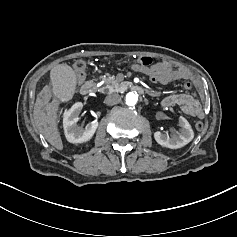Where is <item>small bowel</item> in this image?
<instances>
[{
    "label": "small bowel",
    "instance_id": "obj_1",
    "mask_svg": "<svg viewBox=\"0 0 237 237\" xmlns=\"http://www.w3.org/2000/svg\"><path fill=\"white\" fill-rule=\"evenodd\" d=\"M133 69L145 74L146 76H149L150 74L147 69L141 67L137 63L133 65ZM160 69L168 78V83L174 80L184 79L187 80L184 84L185 89L188 91L192 89V84L190 82L191 74L185 68L172 62L164 61L160 63ZM82 80L83 77L79 76L78 81L81 82ZM162 105L165 107L178 106L183 112L192 117L203 118L205 116V110L202 108L194 93H178L169 95L162 100Z\"/></svg>",
    "mask_w": 237,
    "mask_h": 237
}]
</instances>
